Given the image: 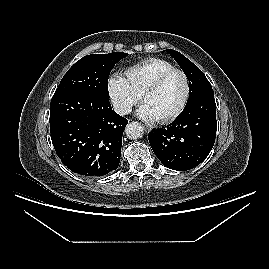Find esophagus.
<instances>
[{
	"label": "esophagus",
	"instance_id": "obj_1",
	"mask_svg": "<svg viewBox=\"0 0 269 269\" xmlns=\"http://www.w3.org/2000/svg\"><path fill=\"white\" fill-rule=\"evenodd\" d=\"M144 127V130L146 131V132H149V131H151V128L150 127H148V126H143Z\"/></svg>",
	"mask_w": 269,
	"mask_h": 269
}]
</instances>
